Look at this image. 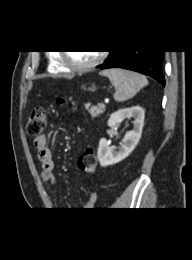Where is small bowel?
Returning <instances> with one entry per match:
<instances>
[{"label":"small bowel","mask_w":192,"mask_h":260,"mask_svg":"<svg viewBox=\"0 0 192 260\" xmlns=\"http://www.w3.org/2000/svg\"><path fill=\"white\" fill-rule=\"evenodd\" d=\"M34 145L37 148V157L41 163L40 179L43 183L50 184L52 186L57 185V177L54 173L55 163L52 150L49 146L46 137L42 136L38 140H34ZM97 193H90L87 201L83 204L82 210H91L94 208L97 202Z\"/></svg>","instance_id":"small-bowel-1"}]
</instances>
